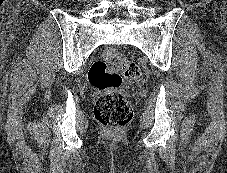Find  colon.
Listing matches in <instances>:
<instances>
[{
    "mask_svg": "<svg viewBox=\"0 0 227 173\" xmlns=\"http://www.w3.org/2000/svg\"><path fill=\"white\" fill-rule=\"evenodd\" d=\"M140 77V67L114 49H107L103 59L93 63L88 80L90 85L100 92L95 103L94 115L102 126L117 131L131 121L132 108L121 93L120 87L123 78L138 81Z\"/></svg>",
    "mask_w": 227,
    "mask_h": 173,
    "instance_id": "5ec220e1",
    "label": "colon"
}]
</instances>
